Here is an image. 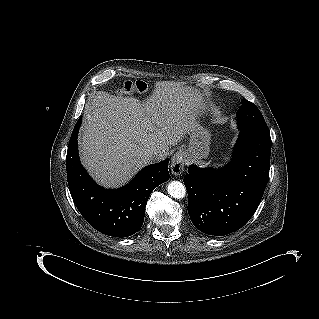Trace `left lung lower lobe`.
Wrapping results in <instances>:
<instances>
[{
    "mask_svg": "<svg viewBox=\"0 0 319 319\" xmlns=\"http://www.w3.org/2000/svg\"><path fill=\"white\" fill-rule=\"evenodd\" d=\"M269 133L241 131L231 162L219 170L191 165L183 181L194 226L212 236L230 234L256 211L269 178Z\"/></svg>",
    "mask_w": 319,
    "mask_h": 319,
    "instance_id": "0a47b994",
    "label": "left lung lower lobe"
}]
</instances>
